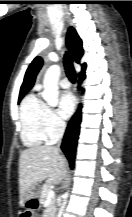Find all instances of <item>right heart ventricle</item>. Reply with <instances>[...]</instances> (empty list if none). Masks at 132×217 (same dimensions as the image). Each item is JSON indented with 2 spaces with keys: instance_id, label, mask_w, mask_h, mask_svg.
Segmentation results:
<instances>
[{
  "instance_id": "right-heart-ventricle-1",
  "label": "right heart ventricle",
  "mask_w": 132,
  "mask_h": 217,
  "mask_svg": "<svg viewBox=\"0 0 132 217\" xmlns=\"http://www.w3.org/2000/svg\"><path fill=\"white\" fill-rule=\"evenodd\" d=\"M47 106L35 93L28 94L19 111L20 137L24 146L36 148L43 145L48 137L45 132Z\"/></svg>"
}]
</instances>
